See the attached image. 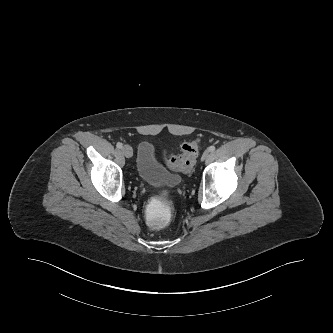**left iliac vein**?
Returning a JSON list of instances; mask_svg holds the SVG:
<instances>
[{"label": "left iliac vein", "instance_id": "obj_1", "mask_svg": "<svg viewBox=\"0 0 333 333\" xmlns=\"http://www.w3.org/2000/svg\"><path fill=\"white\" fill-rule=\"evenodd\" d=\"M210 156V152L208 150L204 151L202 154L201 160L205 161Z\"/></svg>", "mask_w": 333, "mask_h": 333}]
</instances>
